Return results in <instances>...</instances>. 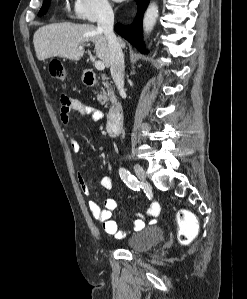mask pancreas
<instances>
[{"label": "pancreas", "instance_id": "cf45deb5", "mask_svg": "<svg viewBox=\"0 0 247 299\" xmlns=\"http://www.w3.org/2000/svg\"><path fill=\"white\" fill-rule=\"evenodd\" d=\"M103 85L105 88H102V91L97 95V100L101 104H104L106 101H108V99L114 97V92L111 85L107 81H103Z\"/></svg>", "mask_w": 247, "mask_h": 299}]
</instances>
